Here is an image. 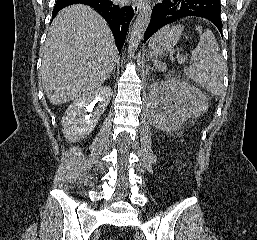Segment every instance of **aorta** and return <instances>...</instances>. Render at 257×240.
Masks as SVG:
<instances>
[{"label": "aorta", "instance_id": "aorta-1", "mask_svg": "<svg viewBox=\"0 0 257 240\" xmlns=\"http://www.w3.org/2000/svg\"><path fill=\"white\" fill-rule=\"evenodd\" d=\"M152 14V8L149 4L143 6L140 10L132 27L129 44H128V55L131 57L134 55L138 45L140 44L145 30L150 22Z\"/></svg>", "mask_w": 257, "mask_h": 240}]
</instances>
